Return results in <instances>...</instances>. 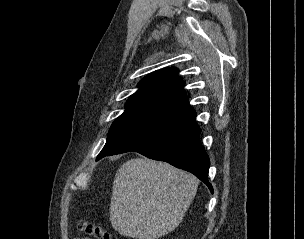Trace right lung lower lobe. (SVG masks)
Masks as SVG:
<instances>
[{
    "instance_id": "right-lung-lower-lobe-1",
    "label": "right lung lower lobe",
    "mask_w": 304,
    "mask_h": 239,
    "mask_svg": "<svg viewBox=\"0 0 304 239\" xmlns=\"http://www.w3.org/2000/svg\"><path fill=\"white\" fill-rule=\"evenodd\" d=\"M195 117L196 112H193L168 121L108 155L135 151L148 158L168 162L193 173L213 192L208 182L209 157L200 143L201 129Z\"/></svg>"
}]
</instances>
